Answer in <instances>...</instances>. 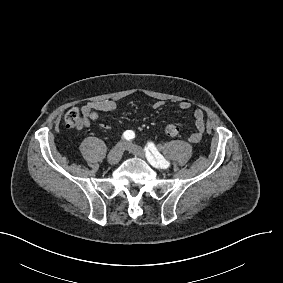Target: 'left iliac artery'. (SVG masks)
<instances>
[{
  "mask_svg": "<svg viewBox=\"0 0 283 283\" xmlns=\"http://www.w3.org/2000/svg\"><path fill=\"white\" fill-rule=\"evenodd\" d=\"M148 149L156 159L153 158ZM145 150L146 157L152 165H159L161 168H168L170 166V163L157 151L153 143H148V147H145Z\"/></svg>",
  "mask_w": 283,
  "mask_h": 283,
  "instance_id": "obj_1",
  "label": "left iliac artery"
}]
</instances>
